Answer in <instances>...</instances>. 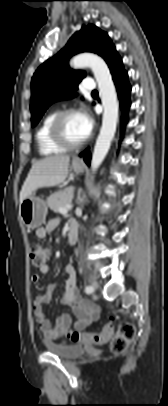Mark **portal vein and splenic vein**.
<instances>
[{"label":"portal vein and splenic vein","mask_w":168,"mask_h":406,"mask_svg":"<svg viewBox=\"0 0 168 406\" xmlns=\"http://www.w3.org/2000/svg\"><path fill=\"white\" fill-rule=\"evenodd\" d=\"M71 208H72V205H66V207H64V208H59V212L61 214H67L68 210L71 209Z\"/></svg>","instance_id":"obj_1"}]
</instances>
